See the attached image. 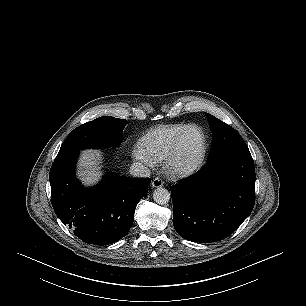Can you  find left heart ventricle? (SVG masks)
<instances>
[{
	"instance_id": "b2bd125f",
	"label": "left heart ventricle",
	"mask_w": 306,
	"mask_h": 306,
	"mask_svg": "<svg viewBox=\"0 0 306 306\" xmlns=\"http://www.w3.org/2000/svg\"><path fill=\"white\" fill-rule=\"evenodd\" d=\"M202 147V135L198 130L187 133L183 142V153L186 158H191L199 153Z\"/></svg>"
}]
</instances>
